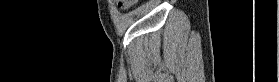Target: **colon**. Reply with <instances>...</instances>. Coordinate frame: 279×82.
<instances>
[{
  "label": "colon",
  "instance_id": "obj_1",
  "mask_svg": "<svg viewBox=\"0 0 279 82\" xmlns=\"http://www.w3.org/2000/svg\"><path fill=\"white\" fill-rule=\"evenodd\" d=\"M136 2H137V0H124V1H118V3L124 4V5H126L127 7L133 6Z\"/></svg>",
  "mask_w": 279,
  "mask_h": 82
}]
</instances>
